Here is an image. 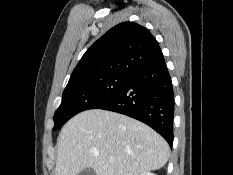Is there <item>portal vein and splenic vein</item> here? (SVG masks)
Returning <instances> with one entry per match:
<instances>
[{
	"mask_svg": "<svg viewBox=\"0 0 233 175\" xmlns=\"http://www.w3.org/2000/svg\"><path fill=\"white\" fill-rule=\"evenodd\" d=\"M114 161V159H110L109 162L112 163Z\"/></svg>",
	"mask_w": 233,
	"mask_h": 175,
	"instance_id": "18ae733b",
	"label": "portal vein and splenic vein"
}]
</instances>
